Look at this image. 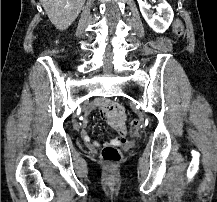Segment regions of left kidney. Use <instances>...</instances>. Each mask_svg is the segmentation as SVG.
Instances as JSON below:
<instances>
[{"label":"left kidney","mask_w":217,"mask_h":202,"mask_svg":"<svg viewBox=\"0 0 217 202\" xmlns=\"http://www.w3.org/2000/svg\"><path fill=\"white\" fill-rule=\"evenodd\" d=\"M140 8V12L147 22L148 26L157 32V34H163L168 30L173 18L174 12L167 4L166 0H158L159 4L156 6V12L154 14V10H150L152 6L147 4L146 0H137Z\"/></svg>","instance_id":"5707ae66"}]
</instances>
